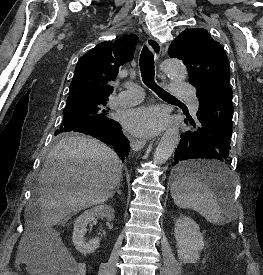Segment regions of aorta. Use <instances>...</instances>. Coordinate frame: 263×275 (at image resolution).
I'll return each instance as SVG.
<instances>
[{"mask_svg":"<svg viewBox=\"0 0 263 275\" xmlns=\"http://www.w3.org/2000/svg\"><path fill=\"white\" fill-rule=\"evenodd\" d=\"M161 69L172 80L182 82L187 77V69L182 61L169 59L162 63ZM180 139L179 123L172 124L163 134L153 155V161L156 165L164 164L174 152Z\"/></svg>","mask_w":263,"mask_h":275,"instance_id":"aorta-1","label":"aorta"}]
</instances>
